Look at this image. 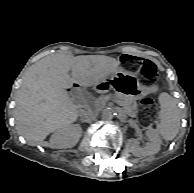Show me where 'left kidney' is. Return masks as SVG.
Returning <instances> with one entry per match:
<instances>
[{
    "label": "left kidney",
    "mask_w": 194,
    "mask_h": 193,
    "mask_svg": "<svg viewBox=\"0 0 194 193\" xmlns=\"http://www.w3.org/2000/svg\"><path fill=\"white\" fill-rule=\"evenodd\" d=\"M149 142L144 147H140L135 139H130L128 141V146L133 155L149 156L154 155L160 151L161 138L154 129H149L146 132Z\"/></svg>",
    "instance_id": "1"
}]
</instances>
